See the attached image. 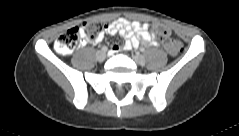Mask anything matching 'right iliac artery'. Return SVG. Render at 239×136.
Here are the masks:
<instances>
[{
    "label": "right iliac artery",
    "instance_id": "right-iliac-artery-1",
    "mask_svg": "<svg viewBox=\"0 0 239 136\" xmlns=\"http://www.w3.org/2000/svg\"><path fill=\"white\" fill-rule=\"evenodd\" d=\"M107 49H108V48H107L106 46H103V47L101 48V50H103V51H105V52L107 51Z\"/></svg>",
    "mask_w": 239,
    "mask_h": 136
}]
</instances>
